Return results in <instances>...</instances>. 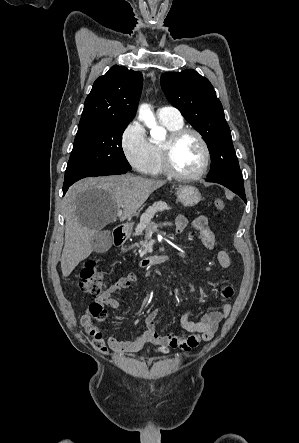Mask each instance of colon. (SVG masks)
I'll list each match as a JSON object with an SVG mask.
<instances>
[{
	"mask_svg": "<svg viewBox=\"0 0 299 443\" xmlns=\"http://www.w3.org/2000/svg\"><path fill=\"white\" fill-rule=\"evenodd\" d=\"M214 207L217 211H223L226 208V204L224 200L216 199L214 201ZM79 287L83 292L90 295H98L101 293L104 287L103 278L97 271L96 265L93 261L84 264L80 273ZM89 314L91 317V323L88 326L90 327V335L98 344H101L103 341V335L102 332L97 329L95 323H103L106 320L107 312L103 305L94 302L89 306Z\"/></svg>",
	"mask_w": 299,
	"mask_h": 443,
	"instance_id": "1",
	"label": "colon"
}]
</instances>
